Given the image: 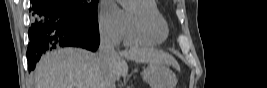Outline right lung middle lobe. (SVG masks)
Listing matches in <instances>:
<instances>
[{"label":"right lung middle lobe","instance_id":"1","mask_svg":"<svg viewBox=\"0 0 267 88\" xmlns=\"http://www.w3.org/2000/svg\"><path fill=\"white\" fill-rule=\"evenodd\" d=\"M76 13L93 20H97L98 0H60Z\"/></svg>","mask_w":267,"mask_h":88}]
</instances>
